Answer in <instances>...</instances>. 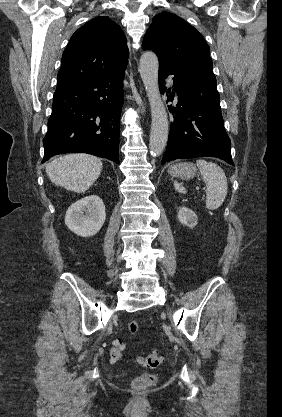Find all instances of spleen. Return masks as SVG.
Wrapping results in <instances>:
<instances>
[{"mask_svg": "<svg viewBox=\"0 0 282 417\" xmlns=\"http://www.w3.org/2000/svg\"><path fill=\"white\" fill-rule=\"evenodd\" d=\"M196 164L199 166L200 174H202V178L207 186L206 209L215 211V209H218V206L223 204L226 198L228 190L226 174L223 168L219 164H215V162H207V160L199 158ZM174 186L178 192L186 194L187 190L182 186L181 182L175 180Z\"/></svg>", "mask_w": 282, "mask_h": 417, "instance_id": "3e777b00", "label": "spleen"}]
</instances>
